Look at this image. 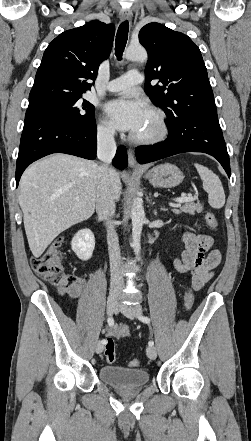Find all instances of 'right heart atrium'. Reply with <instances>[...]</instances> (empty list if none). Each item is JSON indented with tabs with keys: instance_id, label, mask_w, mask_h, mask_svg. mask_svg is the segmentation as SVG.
Returning a JSON list of instances; mask_svg holds the SVG:
<instances>
[{
	"instance_id": "d8ad5b80",
	"label": "right heart atrium",
	"mask_w": 251,
	"mask_h": 441,
	"mask_svg": "<svg viewBox=\"0 0 251 441\" xmlns=\"http://www.w3.org/2000/svg\"><path fill=\"white\" fill-rule=\"evenodd\" d=\"M97 133L102 139H111L114 135V130L108 122L101 120L97 126Z\"/></svg>"
}]
</instances>
